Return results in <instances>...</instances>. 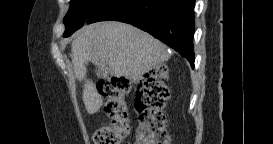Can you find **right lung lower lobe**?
I'll list each match as a JSON object with an SVG mask.
<instances>
[{
	"label": "right lung lower lobe",
	"mask_w": 273,
	"mask_h": 144,
	"mask_svg": "<svg viewBox=\"0 0 273 144\" xmlns=\"http://www.w3.org/2000/svg\"><path fill=\"white\" fill-rule=\"evenodd\" d=\"M194 6L195 0H110L87 23L132 24L169 45L194 68Z\"/></svg>",
	"instance_id": "obj_1"
}]
</instances>
